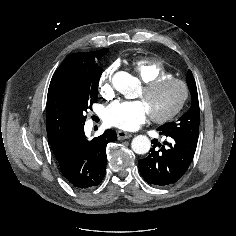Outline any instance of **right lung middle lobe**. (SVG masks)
Returning <instances> with one entry per match:
<instances>
[{"mask_svg":"<svg viewBox=\"0 0 236 236\" xmlns=\"http://www.w3.org/2000/svg\"><path fill=\"white\" fill-rule=\"evenodd\" d=\"M108 49L86 53L79 59L77 74L67 88V105L72 115L74 128L84 126L85 112L92 108L97 101L98 83L102 68L98 66L97 59L102 58Z\"/></svg>","mask_w":236,"mask_h":236,"instance_id":"obj_1","label":"right lung middle lobe"}]
</instances>
